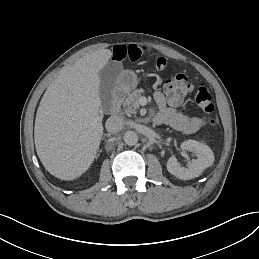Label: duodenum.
Here are the masks:
<instances>
[{"mask_svg":"<svg viewBox=\"0 0 259 259\" xmlns=\"http://www.w3.org/2000/svg\"><path fill=\"white\" fill-rule=\"evenodd\" d=\"M126 90L123 87H117L112 94V100L109 110L111 113H117L120 109L121 102L125 96Z\"/></svg>","mask_w":259,"mask_h":259,"instance_id":"duodenum-1","label":"duodenum"}]
</instances>
